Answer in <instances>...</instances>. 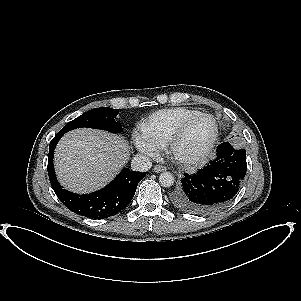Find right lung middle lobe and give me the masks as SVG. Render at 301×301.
Returning a JSON list of instances; mask_svg holds the SVG:
<instances>
[{
  "instance_id": "obj_1",
  "label": "right lung middle lobe",
  "mask_w": 301,
  "mask_h": 301,
  "mask_svg": "<svg viewBox=\"0 0 301 301\" xmlns=\"http://www.w3.org/2000/svg\"><path fill=\"white\" fill-rule=\"evenodd\" d=\"M118 113V109L107 107L91 109L76 119L68 122L59 133L65 134L70 130L80 127L103 129L113 133L120 132L122 126L119 121L115 120Z\"/></svg>"
}]
</instances>
